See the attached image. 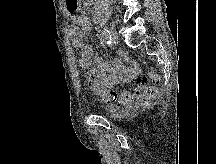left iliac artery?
Here are the masks:
<instances>
[{"instance_id": "left-iliac-artery-1", "label": "left iliac artery", "mask_w": 216, "mask_h": 164, "mask_svg": "<svg viewBox=\"0 0 216 164\" xmlns=\"http://www.w3.org/2000/svg\"><path fill=\"white\" fill-rule=\"evenodd\" d=\"M102 35L104 37V41L110 45L111 44V34L107 28H104Z\"/></svg>"}]
</instances>
